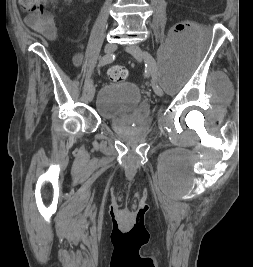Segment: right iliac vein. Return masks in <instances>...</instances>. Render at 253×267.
Instances as JSON below:
<instances>
[{"mask_svg":"<svg viewBox=\"0 0 253 267\" xmlns=\"http://www.w3.org/2000/svg\"><path fill=\"white\" fill-rule=\"evenodd\" d=\"M116 48H117V46L115 43H107L104 47V51H105V53L110 54V53L114 52L116 50ZM94 95H95V88L92 85L87 89L88 101H91L93 99Z\"/></svg>","mask_w":253,"mask_h":267,"instance_id":"right-iliac-vein-1","label":"right iliac vein"}]
</instances>
